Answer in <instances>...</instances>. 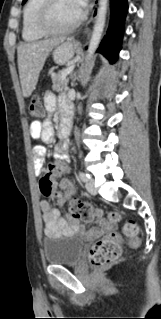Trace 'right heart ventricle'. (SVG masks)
I'll return each instance as SVG.
<instances>
[{"mask_svg": "<svg viewBox=\"0 0 161 319\" xmlns=\"http://www.w3.org/2000/svg\"><path fill=\"white\" fill-rule=\"evenodd\" d=\"M43 0H28L23 11L22 38L25 41H36L45 37L36 26V18Z\"/></svg>", "mask_w": 161, "mask_h": 319, "instance_id": "e07e8e85", "label": "right heart ventricle"}]
</instances>
